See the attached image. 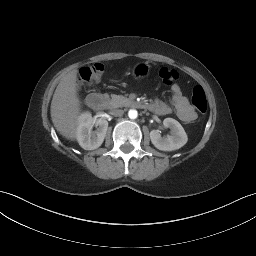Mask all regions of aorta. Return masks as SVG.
Here are the masks:
<instances>
[{"label": "aorta", "mask_w": 256, "mask_h": 256, "mask_svg": "<svg viewBox=\"0 0 256 256\" xmlns=\"http://www.w3.org/2000/svg\"><path fill=\"white\" fill-rule=\"evenodd\" d=\"M128 116L130 119H136L138 116V112L134 109L129 110Z\"/></svg>", "instance_id": "762f6f07"}]
</instances>
